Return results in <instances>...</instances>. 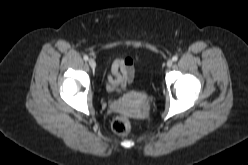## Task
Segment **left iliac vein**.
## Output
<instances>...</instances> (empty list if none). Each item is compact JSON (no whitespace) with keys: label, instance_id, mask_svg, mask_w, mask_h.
Wrapping results in <instances>:
<instances>
[{"label":"left iliac vein","instance_id":"obj_1","mask_svg":"<svg viewBox=\"0 0 248 165\" xmlns=\"http://www.w3.org/2000/svg\"><path fill=\"white\" fill-rule=\"evenodd\" d=\"M172 64H173V61H172L171 59H169V60L167 61V63H166V66H167V67H171Z\"/></svg>","mask_w":248,"mask_h":165}]
</instances>
